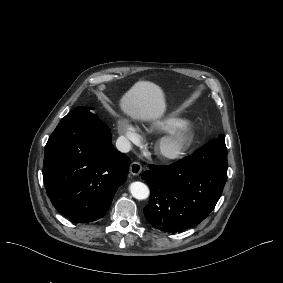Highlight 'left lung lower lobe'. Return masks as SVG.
Wrapping results in <instances>:
<instances>
[{
    "label": "left lung lower lobe",
    "instance_id": "0a47b994",
    "mask_svg": "<svg viewBox=\"0 0 283 283\" xmlns=\"http://www.w3.org/2000/svg\"><path fill=\"white\" fill-rule=\"evenodd\" d=\"M149 168L142 174L151 191L146 220L165 232L191 228L209 215L222 194L227 180L225 140L213 139L191 156Z\"/></svg>",
    "mask_w": 283,
    "mask_h": 283
}]
</instances>
